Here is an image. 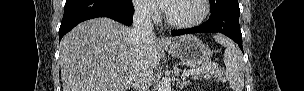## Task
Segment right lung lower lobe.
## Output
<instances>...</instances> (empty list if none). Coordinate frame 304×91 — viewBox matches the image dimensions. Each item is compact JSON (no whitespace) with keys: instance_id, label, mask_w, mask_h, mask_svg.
<instances>
[{"instance_id":"obj_1","label":"right lung lower lobe","mask_w":304,"mask_h":91,"mask_svg":"<svg viewBox=\"0 0 304 91\" xmlns=\"http://www.w3.org/2000/svg\"><path fill=\"white\" fill-rule=\"evenodd\" d=\"M133 13L131 0H66L59 38L80 22L97 17H108L130 26Z\"/></svg>"}]
</instances>
